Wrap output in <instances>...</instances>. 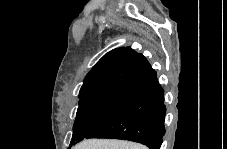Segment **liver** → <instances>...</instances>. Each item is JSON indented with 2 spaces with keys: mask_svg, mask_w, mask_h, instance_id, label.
Returning <instances> with one entry per match:
<instances>
[{
  "mask_svg": "<svg viewBox=\"0 0 227 149\" xmlns=\"http://www.w3.org/2000/svg\"><path fill=\"white\" fill-rule=\"evenodd\" d=\"M77 149H146L145 146L122 140L89 139L83 141Z\"/></svg>",
  "mask_w": 227,
  "mask_h": 149,
  "instance_id": "6515ba94",
  "label": "liver"
}]
</instances>
